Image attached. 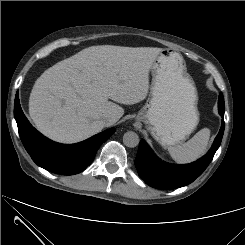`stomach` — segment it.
I'll list each match as a JSON object with an SVG mask.
<instances>
[{
    "instance_id": "1",
    "label": "stomach",
    "mask_w": 245,
    "mask_h": 245,
    "mask_svg": "<svg viewBox=\"0 0 245 245\" xmlns=\"http://www.w3.org/2000/svg\"><path fill=\"white\" fill-rule=\"evenodd\" d=\"M150 70L149 97L136 119L163 147L181 144L199 123L194 81L183 56L171 49H162Z\"/></svg>"
}]
</instances>
